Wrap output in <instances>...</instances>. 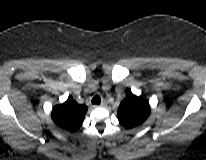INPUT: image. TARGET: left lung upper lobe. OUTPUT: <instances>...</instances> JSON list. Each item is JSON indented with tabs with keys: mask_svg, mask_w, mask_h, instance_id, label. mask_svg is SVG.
I'll return each mask as SVG.
<instances>
[{
	"mask_svg": "<svg viewBox=\"0 0 206 160\" xmlns=\"http://www.w3.org/2000/svg\"><path fill=\"white\" fill-rule=\"evenodd\" d=\"M150 115V105L142 97L134 94L128 95L118 109L117 117L119 122L126 129H133L140 126Z\"/></svg>",
	"mask_w": 206,
	"mask_h": 160,
	"instance_id": "obj_1",
	"label": "left lung upper lobe"
}]
</instances>
